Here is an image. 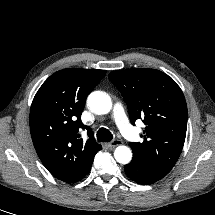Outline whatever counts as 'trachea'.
<instances>
[{
    "label": "trachea",
    "instance_id": "3493384b",
    "mask_svg": "<svg viewBox=\"0 0 215 215\" xmlns=\"http://www.w3.org/2000/svg\"><path fill=\"white\" fill-rule=\"evenodd\" d=\"M113 139V135L106 128H100L97 132L98 142H110Z\"/></svg>",
    "mask_w": 215,
    "mask_h": 215
}]
</instances>
